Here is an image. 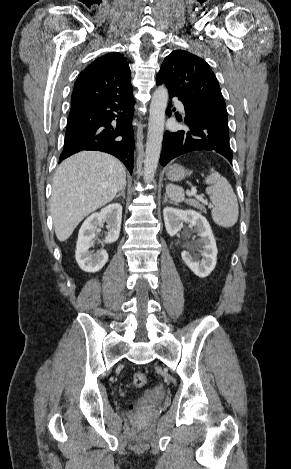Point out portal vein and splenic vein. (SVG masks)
I'll list each match as a JSON object with an SVG mask.
<instances>
[{"instance_id":"18ae733b","label":"portal vein and splenic vein","mask_w":291,"mask_h":469,"mask_svg":"<svg viewBox=\"0 0 291 469\" xmlns=\"http://www.w3.org/2000/svg\"><path fill=\"white\" fill-rule=\"evenodd\" d=\"M196 193H197V190L194 187H192L190 195L197 197ZM209 206H211V205L209 204Z\"/></svg>"}]
</instances>
